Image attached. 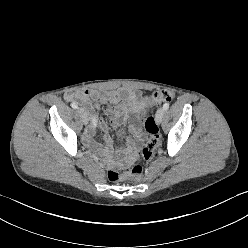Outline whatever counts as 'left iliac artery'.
Here are the masks:
<instances>
[{"label":"left iliac artery","instance_id":"44dca946","mask_svg":"<svg viewBox=\"0 0 248 248\" xmlns=\"http://www.w3.org/2000/svg\"><path fill=\"white\" fill-rule=\"evenodd\" d=\"M163 108H164L165 110H167V109L169 108V104H168V103H165V104L163 105Z\"/></svg>","mask_w":248,"mask_h":248}]
</instances>
